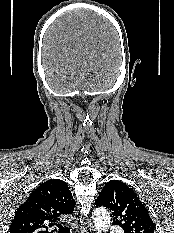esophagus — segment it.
Returning a JSON list of instances; mask_svg holds the SVG:
<instances>
[{
  "mask_svg": "<svg viewBox=\"0 0 174 233\" xmlns=\"http://www.w3.org/2000/svg\"><path fill=\"white\" fill-rule=\"evenodd\" d=\"M80 233H94L93 225L83 219H80Z\"/></svg>",
  "mask_w": 174,
  "mask_h": 233,
  "instance_id": "1",
  "label": "esophagus"
}]
</instances>
